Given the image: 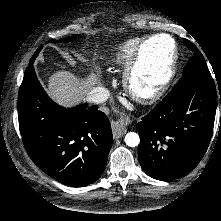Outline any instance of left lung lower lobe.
I'll list each match as a JSON object with an SVG mask.
<instances>
[{
  "label": "left lung lower lobe",
  "instance_id": "obj_1",
  "mask_svg": "<svg viewBox=\"0 0 221 221\" xmlns=\"http://www.w3.org/2000/svg\"><path fill=\"white\" fill-rule=\"evenodd\" d=\"M217 101L214 80L193 77L178 82L142 118L139 162L146 174L170 181L198 165L211 140Z\"/></svg>",
  "mask_w": 221,
  "mask_h": 221
}]
</instances>
